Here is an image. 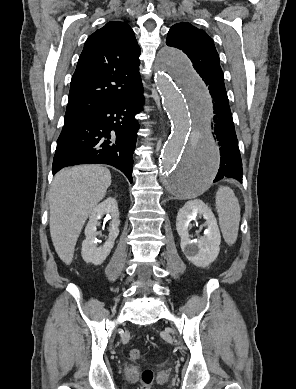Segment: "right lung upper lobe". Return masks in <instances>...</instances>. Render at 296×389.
<instances>
[{
  "instance_id": "right-lung-upper-lobe-1",
  "label": "right lung upper lobe",
  "mask_w": 296,
  "mask_h": 389,
  "mask_svg": "<svg viewBox=\"0 0 296 389\" xmlns=\"http://www.w3.org/2000/svg\"><path fill=\"white\" fill-rule=\"evenodd\" d=\"M140 47L131 27L110 21L86 40L73 74L65 121L118 101L139 75Z\"/></svg>"
}]
</instances>
